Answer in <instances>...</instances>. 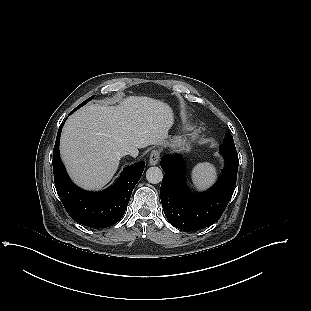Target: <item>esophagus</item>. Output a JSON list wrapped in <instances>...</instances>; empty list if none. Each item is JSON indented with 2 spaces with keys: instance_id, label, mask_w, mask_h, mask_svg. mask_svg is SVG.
I'll return each instance as SVG.
<instances>
[{
  "instance_id": "1",
  "label": "esophagus",
  "mask_w": 311,
  "mask_h": 311,
  "mask_svg": "<svg viewBox=\"0 0 311 311\" xmlns=\"http://www.w3.org/2000/svg\"><path fill=\"white\" fill-rule=\"evenodd\" d=\"M160 159V151L159 150H153L150 154L149 158V164L150 165H156Z\"/></svg>"
}]
</instances>
